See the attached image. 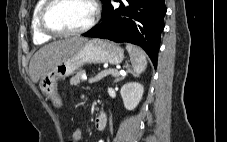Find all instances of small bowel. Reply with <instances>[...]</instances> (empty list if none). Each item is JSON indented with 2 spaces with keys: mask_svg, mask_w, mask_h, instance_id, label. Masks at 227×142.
Returning a JSON list of instances; mask_svg holds the SVG:
<instances>
[{
  "mask_svg": "<svg viewBox=\"0 0 227 142\" xmlns=\"http://www.w3.org/2000/svg\"><path fill=\"white\" fill-rule=\"evenodd\" d=\"M98 142H104L103 140H100V141H98Z\"/></svg>",
  "mask_w": 227,
  "mask_h": 142,
  "instance_id": "c3829d8e",
  "label": "small bowel"
}]
</instances>
